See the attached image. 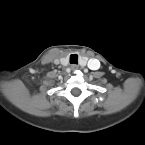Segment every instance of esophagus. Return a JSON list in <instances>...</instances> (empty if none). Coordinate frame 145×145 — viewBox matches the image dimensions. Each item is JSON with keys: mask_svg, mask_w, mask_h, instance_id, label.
I'll return each mask as SVG.
<instances>
[{"mask_svg": "<svg viewBox=\"0 0 145 145\" xmlns=\"http://www.w3.org/2000/svg\"><path fill=\"white\" fill-rule=\"evenodd\" d=\"M71 69H72L73 71H76V70H78V66H77V65H72V66H71Z\"/></svg>", "mask_w": 145, "mask_h": 145, "instance_id": "obj_1", "label": "esophagus"}]
</instances>
